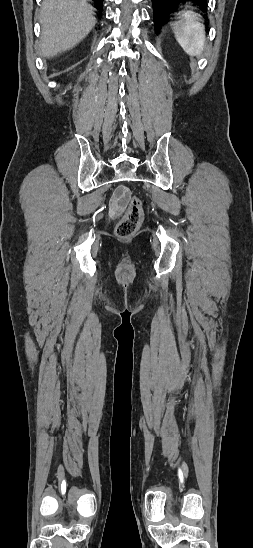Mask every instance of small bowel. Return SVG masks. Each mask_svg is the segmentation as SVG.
Wrapping results in <instances>:
<instances>
[{
    "label": "small bowel",
    "mask_w": 253,
    "mask_h": 548,
    "mask_svg": "<svg viewBox=\"0 0 253 548\" xmlns=\"http://www.w3.org/2000/svg\"><path fill=\"white\" fill-rule=\"evenodd\" d=\"M129 199V189L126 186H118L110 200L109 213L117 217L123 213Z\"/></svg>",
    "instance_id": "small-bowel-1"
}]
</instances>
